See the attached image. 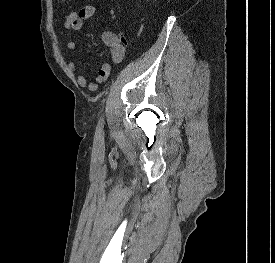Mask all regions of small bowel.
<instances>
[{
    "label": "small bowel",
    "instance_id": "c3829d8e",
    "mask_svg": "<svg viewBox=\"0 0 275 263\" xmlns=\"http://www.w3.org/2000/svg\"><path fill=\"white\" fill-rule=\"evenodd\" d=\"M97 10L98 8L95 5H85L77 8L67 16L64 25L65 28L71 32L81 30L84 22L95 15ZM102 40L109 48V53L112 60L115 63H120L125 56L124 40L113 32H104L102 34ZM77 47L78 43L74 39H71L66 43L67 50L72 51ZM68 69L73 74L76 72V63L74 59H70L68 62ZM110 72V64L104 62L96 73L95 81H88L83 74H78L76 80L81 87H87L90 91H95L98 88V84L107 80Z\"/></svg>",
    "mask_w": 275,
    "mask_h": 263
}]
</instances>
